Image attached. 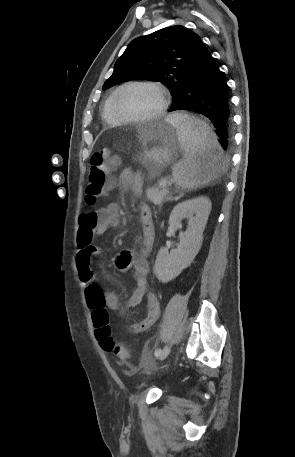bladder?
Returning a JSON list of instances; mask_svg holds the SVG:
<instances>
[{
	"instance_id": "bladder-1",
	"label": "bladder",
	"mask_w": 295,
	"mask_h": 457,
	"mask_svg": "<svg viewBox=\"0 0 295 457\" xmlns=\"http://www.w3.org/2000/svg\"><path fill=\"white\" fill-rule=\"evenodd\" d=\"M147 358L149 360H140L139 361V368L140 369H150L151 368V361L150 360H152L154 358V355L152 353H149L147 355ZM154 365L157 366L158 364L155 363Z\"/></svg>"
}]
</instances>
